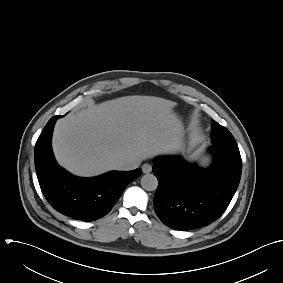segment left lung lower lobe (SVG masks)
<instances>
[{
  "label": "left lung lower lobe",
  "instance_id": "obj_1",
  "mask_svg": "<svg viewBox=\"0 0 283 283\" xmlns=\"http://www.w3.org/2000/svg\"><path fill=\"white\" fill-rule=\"evenodd\" d=\"M212 151L215 160L206 170L170 157L155 159L154 208L168 227L197 229L217 220L228 207L240 182V152L222 145Z\"/></svg>",
  "mask_w": 283,
  "mask_h": 283
}]
</instances>
